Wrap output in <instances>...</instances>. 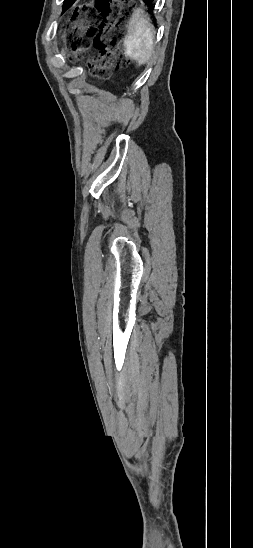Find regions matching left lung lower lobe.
<instances>
[{
	"instance_id": "1",
	"label": "left lung lower lobe",
	"mask_w": 253,
	"mask_h": 548,
	"mask_svg": "<svg viewBox=\"0 0 253 548\" xmlns=\"http://www.w3.org/2000/svg\"><path fill=\"white\" fill-rule=\"evenodd\" d=\"M76 0H65L63 10L68 9ZM148 6L152 7L153 0H143Z\"/></svg>"
}]
</instances>
